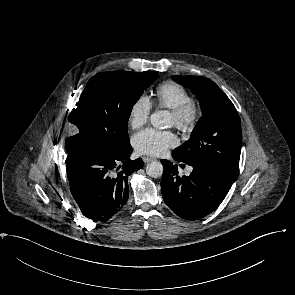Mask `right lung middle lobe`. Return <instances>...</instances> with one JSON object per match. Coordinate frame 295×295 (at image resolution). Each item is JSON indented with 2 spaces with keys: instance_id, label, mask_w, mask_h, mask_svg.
I'll list each match as a JSON object with an SVG mask.
<instances>
[{
  "instance_id": "obj_1",
  "label": "right lung middle lobe",
  "mask_w": 295,
  "mask_h": 295,
  "mask_svg": "<svg viewBox=\"0 0 295 295\" xmlns=\"http://www.w3.org/2000/svg\"><path fill=\"white\" fill-rule=\"evenodd\" d=\"M156 72H101L87 83L76 106L66 114L76 135L66 139L67 153L86 145L123 151L129 145L127 125L134 104L157 78Z\"/></svg>"
}]
</instances>
